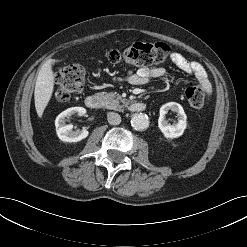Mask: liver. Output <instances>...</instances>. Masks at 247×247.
Here are the masks:
<instances>
[{"instance_id": "obj_1", "label": "liver", "mask_w": 247, "mask_h": 247, "mask_svg": "<svg viewBox=\"0 0 247 247\" xmlns=\"http://www.w3.org/2000/svg\"><path fill=\"white\" fill-rule=\"evenodd\" d=\"M57 62L50 59L42 65L35 84L34 99L37 115L41 118L54 90V73L52 65Z\"/></svg>"}]
</instances>
